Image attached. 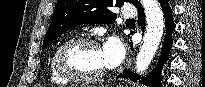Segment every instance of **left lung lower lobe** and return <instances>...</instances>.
I'll return each mask as SVG.
<instances>
[{
  "mask_svg": "<svg viewBox=\"0 0 205 87\" xmlns=\"http://www.w3.org/2000/svg\"><path fill=\"white\" fill-rule=\"evenodd\" d=\"M159 3L162 6L164 16H165L166 36H165V40L163 43L161 56H160V59H159L157 65L152 70L151 74L146 76V77L138 76L135 73H132L128 69V70H124L123 74H121L119 76V78H127V79H130L132 81L139 80L140 83L147 84L150 87H161L162 86L161 70H162L163 65L166 63V60L168 58L169 52H170L171 47H172L171 35L175 29V24H174L173 19H172V10H171L169 1L168 0H159ZM136 7L138 8V11H139L138 24L141 25L142 27H144L145 26L144 11L141 8L139 3L136 5ZM131 47H132V45H131Z\"/></svg>",
  "mask_w": 205,
  "mask_h": 87,
  "instance_id": "1",
  "label": "left lung lower lobe"
}]
</instances>
